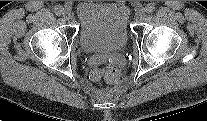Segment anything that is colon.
<instances>
[{
	"label": "colon",
	"mask_w": 207,
	"mask_h": 121,
	"mask_svg": "<svg viewBox=\"0 0 207 121\" xmlns=\"http://www.w3.org/2000/svg\"><path fill=\"white\" fill-rule=\"evenodd\" d=\"M95 74L98 75L99 72L96 71ZM103 74H104L105 79L110 83H114L119 79V71H118L117 67H115V66L107 67L104 70Z\"/></svg>",
	"instance_id": "obj_1"
}]
</instances>
